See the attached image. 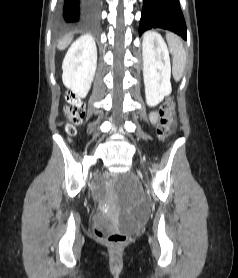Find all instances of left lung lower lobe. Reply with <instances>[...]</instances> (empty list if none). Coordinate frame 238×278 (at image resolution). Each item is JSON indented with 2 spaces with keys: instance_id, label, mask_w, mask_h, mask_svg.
Returning <instances> with one entry per match:
<instances>
[{
  "instance_id": "left-lung-lower-lobe-1",
  "label": "left lung lower lobe",
  "mask_w": 238,
  "mask_h": 278,
  "mask_svg": "<svg viewBox=\"0 0 238 278\" xmlns=\"http://www.w3.org/2000/svg\"><path fill=\"white\" fill-rule=\"evenodd\" d=\"M151 28H164L186 39V24L179 0H144L139 35Z\"/></svg>"
}]
</instances>
